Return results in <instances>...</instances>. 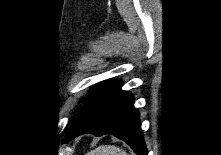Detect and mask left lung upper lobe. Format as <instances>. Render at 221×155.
Segmentation results:
<instances>
[{"label":"left lung upper lobe","mask_w":221,"mask_h":155,"mask_svg":"<svg viewBox=\"0 0 221 155\" xmlns=\"http://www.w3.org/2000/svg\"><path fill=\"white\" fill-rule=\"evenodd\" d=\"M95 88H93L89 93H88V96L92 93V91L94 90Z\"/></svg>","instance_id":"5c2ea615"}]
</instances>
